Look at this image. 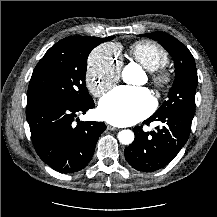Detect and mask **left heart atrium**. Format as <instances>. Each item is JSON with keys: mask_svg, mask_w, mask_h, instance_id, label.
<instances>
[{"mask_svg": "<svg viewBox=\"0 0 217 217\" xmlns=\"http://www.w3.org/2000/svg\"><path fill=\"white\" fill-rule=\"evenodd\" d=\"M154 99L145 88L117 87L100 101L99 114L111 124L123 126L138 122L152 110Z\"/></svg>", "mask_w": 217, "mask_h": 217, "instance_id": "1", "label": "left heart atrium"}]
</instances>
